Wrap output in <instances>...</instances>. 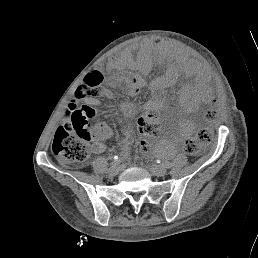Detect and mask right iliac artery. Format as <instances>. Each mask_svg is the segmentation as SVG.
Segmentation results:
<instances>
[{
	"label": "right iliac artery",
	"mask_w": 258,
	"mask_h": 258,
	"mask_svg": "<svg viewBox=\"0 0 258 258\" xmlns=\"http://www.w3.org/2000/svg\"><path fill=\"white\" fill-rule=\"evenodd\" d=\"M114 160H115V161H117V160H118V157H117V156H115V157H114Z\"/></svg>",
	"instance_id": "obj_1"
}]
</instances>
